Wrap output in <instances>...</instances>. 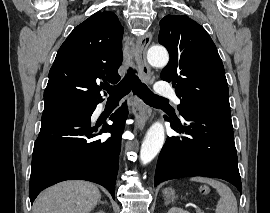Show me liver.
I'll list each match as a JSON object with an SVG mask.
<instances>
[{"instance_id": "obj_1", "label": "liver", "mask_w": 270, "mask_h": 213, "mask_svg": "<svg viewBox=\"0 0 270 213\" xmlns=\"http://www.w3.org/2000/svg\"><path fill=\"white\" fill-rule=\"evenodd\" d=\"M101 198L99 189L85 181H66L42 192L33 213H90Z\"/></svg>"}]
</instances>
